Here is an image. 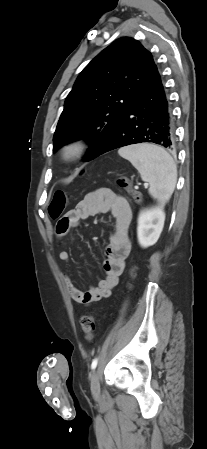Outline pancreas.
Masks as SVG:
<instances>
[{
  "label": "pancreas",
  "instance_id": "1",
  "mask_svg": "<svg viewBox=\"0 0 207 449\" xmlns=\"http://www.w3.org/2000/svg\"><path fill=\"white\" fill-rule=\"evenodd\" d=\"M132 196H133L134 198H136V197H140L141 194H140L139 192L134 191V192H132Z\"/></svg>",
  "mask_w": 207,
  "mask_h": 449
}]
</instances>
